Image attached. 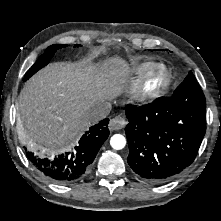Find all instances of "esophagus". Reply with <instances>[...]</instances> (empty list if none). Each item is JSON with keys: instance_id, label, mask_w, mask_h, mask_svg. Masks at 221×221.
I'll return each mask as SVG.
<instances>
[{"instance_id": "esophagus-1", "label": "esophagus", "mask_w": 221, "mask_h": 221, "mask_svg": "<svg viewBox=\"0 0 221 221\" xmlns=\"http://www.w3.org/2000/svg\"><path fill=\"white\" fill-rule=\"evenodd\" d=\"M126 124H127L126 119L119 115L110 120L109 129L119 130V129L124 128Z\"/></svg>"}]
</instances>
